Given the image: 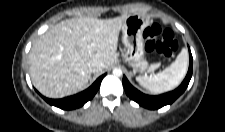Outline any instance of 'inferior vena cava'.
Listing matches in <instances>:
<instances>
[{
	"mask_svg": "<svg viewBox=\"0 0 225 132\" xmlns=\"http://www.w3.org/2000/svg\"><path fill=\"white\" fill-rule=\"evenodd\" d=\"M90 71L95 74H100L105 68V64L100 60H93L89 65Z\"/></svg>",
	"mask_w": 225,
	"mask_h": 132,
	"instance_id": "inferior-vena-cava-1",
	"label": "inferior vena cava"
}]
</instances>
